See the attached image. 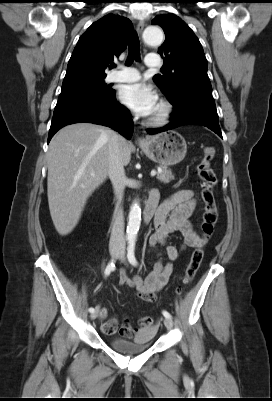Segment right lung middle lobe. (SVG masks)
Returning <instances> with one entry per match:
<instances>
[{
  "instance_id": "1",
  "label": "right lung middle lobe",
  "mask_w": 272,
  "mask_h": 401,
  "mask_svg": "<svg viewBox=\"0 0 272 401\" xmlns=\"http://www.w3.org/2000/svg\"><path fill=\"white\" fill-rule=\"evenodd\" d=\"M103 80L62 90L55 110L69 107L82 102H105L115 95Z\"/></svg>"
}]
</instances>
